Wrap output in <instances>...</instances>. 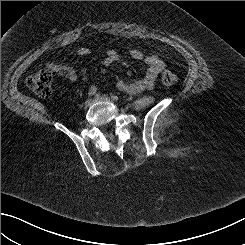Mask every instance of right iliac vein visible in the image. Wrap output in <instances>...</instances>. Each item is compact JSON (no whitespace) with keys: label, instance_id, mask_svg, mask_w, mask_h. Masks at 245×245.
Returning <instances> with one entry per match:
<instances>
[{"label":"right iliac vein","instance_id":"right-iliac-vein-1","mask_svg":"<svg viewBox=\"0 0 245 245\" xmlns=\"http://www.w3.org/2000/svg\"><path fill=\"white\" fill-rule=\"evenodd\" d=\"M94 103V100L93 99H87L86 102H85V108H89L90 106H92Z\"/></svg>","mask_w":245,"mask_h":245}]
</instances>
